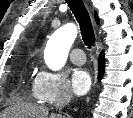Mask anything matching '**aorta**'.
Returning <instances> with one entry per match:
<instances>
[{"instance_id": "aorta-1", "label": "aorta", "mask_w": 133, "mask_h": 118, "mask_svg": "<svg viewBox=\"0 0 133 118\" xmlns=\"http://www.w3.org/2000/svg\"><path fill=\"white\" fill-rule=\"evenodd\" d=\"M77 33V27L70 23L62 26L52 35L44 54L45 62L51 70H60L65 65Z\"/></svg>"}]
</instances>
